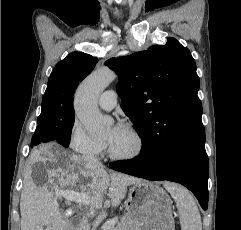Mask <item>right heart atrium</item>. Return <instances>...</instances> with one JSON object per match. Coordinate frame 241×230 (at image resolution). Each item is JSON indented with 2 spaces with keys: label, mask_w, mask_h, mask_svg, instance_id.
<instances>
[{
  "label": "right heart atrium",
  "mask_w": 241,
  "mask_h": 230,
  "mask_svg": "<svg viewBox=\"0 0 241 230\" xmlns=\"http://www.w3.org/2000/svg\"><path fill=\"white\" fill-rule=\"evenodd\" d=\"M69 146L76 153L88 157L98 156L105 149V144L92 137L78 120L74 121L71 128Z\"/></svg>",
  "instance_id": "1"
}]
</instances>
